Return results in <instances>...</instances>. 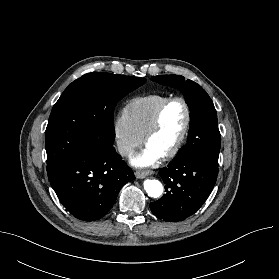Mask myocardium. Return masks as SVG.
I'll return each instance as SVG.
<instances>
[{
  "label": "myocardium",
  "mask_w": 279,
  "mask_h": 279,
  "mask_svg": "<svg viewBox=\"0 0 279 279\" xmlns=\"http://www.w3.org/2000/svg\"><path fill=\"white\" fill-rule=\"evenodd\" d=\"M176 101L181 102L185 108V112H186L185 124H184L183 130H182V133H181L179 139L177 140V142L174 144V146L168 152H166L165 154H163L161 156V158H163V159H169V158L174 157L180 151V149L182 148L183 144L186 141V138L188 136L189 129L191 126V120H192L191 108H190L188 101L184 97H181V96L170 97L167 100H165L157 109L150 126L148 127V129L146 130V132L144 134V143L147 146L149 139L159 129V127L161 125L162 116H163L164 111L171 103L176 102Z\"/></svg>",
  "instance_id": "f54148a6"
}]
</instances>
